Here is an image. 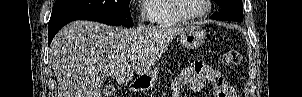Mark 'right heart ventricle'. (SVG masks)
Returning a JSON list of instances; mask_svg holds the SVG:
<instances>
[{
  "instance_id": "right-heart-ventricle-1",
  "label": "right heart ventricle",
  "mask_w": 302,
  "mask_h": 97,
  "mask_svg": "<svg viewBox=\"0 0 302 97\" xmlns=\"http://www.w3.org/2000/svg\"><path fill=\"white\" fill-rule=\"evenodd\" d=\"M145 12L156 26L166 27L184 23L172 8V0H147Z\"/></svg>"
}]
</instances>
